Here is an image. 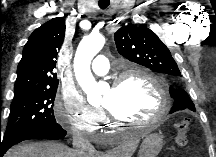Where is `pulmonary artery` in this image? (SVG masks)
<instances>
[{"mask_svg": "<svg viewBox=\"0 0 216 157\" xmlns=\"http://www.w3.org/2000/svg\"><path fill=\"white\" fill-rule=\"evenodd\" d=\"M91 69L98 75H104L109 71V60L105 55H97L92 64Z\"/></svg>", "mask_w": 216, "mask_h": 157, "instance_id": "pulmonary-artery-1", "label": "pulmonary artery"}]
</instances>
